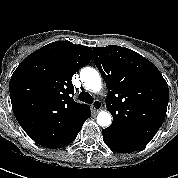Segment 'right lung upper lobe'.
<instances>
[{
    "instance_id": "cb5924a9",
    "label": "right lung upper lobe",
    "mask_w": 178,
    "mask_h": 178,
    "mask_svg": "<svg viewBox=\"0 0 178 178\" xmlns=\"http://www.w3.org/2000/svg\"><path fill=\"white\" fill-rule=\"evenodd\" d=\"M92 57L90 47L57 41L27 56L14 71L9 85L13 112L36 143L60 148L91 116L88 105L73 100L71 79Z\"/></svg>"
}]
</instances>
